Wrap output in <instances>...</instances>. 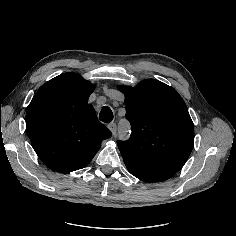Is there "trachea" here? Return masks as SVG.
<instances>
[{"label":"trachea","mask_w":236,"mask_h":236,"mask_svg":"<svg viewBox=\"0 0 236 236\" xmlns=\"http://www.w3.org/2000/svg\"><path fill=\"white\" fill-rule=\"evenodd\" d=\"M99 119L103 122L109 123L113 119V112L108 106H104L99 114Z\"/></svg>","instance_id":"3493384b"}]
</instances>
